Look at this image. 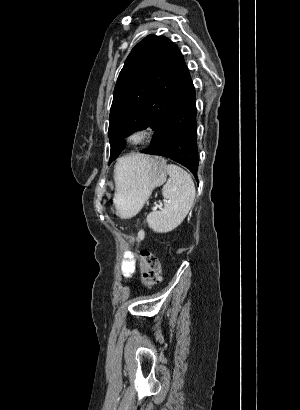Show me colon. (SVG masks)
Wrapping results in <instances>:
<instances>
[{
  "label": "colon",
  "instance_id": "5ec220e1",
  "mask_svg": "<svg viewBox=\"0 0 300 410\" xmlns=\"http://www.w3.org/2000/svg\"><path fill=\"white\" fill-rule=\"evenodd\" d=\"M140 265L142 269V283L152 287L160 281V265L156 254L147 249L140 251Z\"/></svg>",
  "mask_w": 300,
  "mask_h": 410
}]
</instances>
